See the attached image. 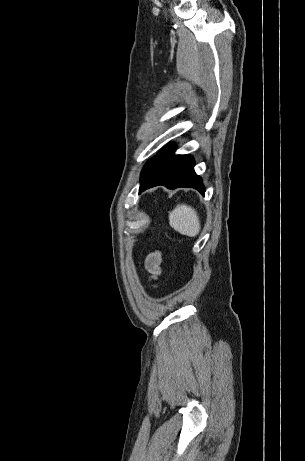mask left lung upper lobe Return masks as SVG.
Returning <instances> with one entry per match:
<instances>
[{
    "label": "left lung upper lobe",
    "instance_id": "1",
    "mask_svg": "<svg viewBox=\"0 0 305 461\" xmlns=\"http://www.w3.org/2000/svg\"><path fill=\"white\" fill-rule=\"evenodd\" d=\"M151 166H152V159L148 160V162L145 164L141 172V178L144 177L149 172Z\"/></svg>",
    "mask_w": 305,
    "mask_h": 461
}]
</instances>
